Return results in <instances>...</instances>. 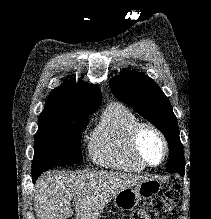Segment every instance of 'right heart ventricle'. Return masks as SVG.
<instances>
[{
    "mask_svg": "<svg viewBox=\"0 0 211 219\" xmlns=\"http://www.w3.org/2000/svg\"><path fill=\"white\" fill-rule=\"evenodd\" d=\"M139 123V118L124 105L108 106L89 138L92 161L125 172L144 170L146 167L136 159L131 147L132 132Z\"/></svg>",
    "mask_w": 211,
    "mask_h": 219,
    "instance_id": "e07e8e85",
    "label": "right heart ventricle"
}]
</instances>
